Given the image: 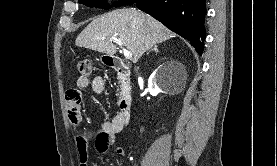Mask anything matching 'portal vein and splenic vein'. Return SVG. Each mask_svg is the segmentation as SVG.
Instances as JSON below:
<instances>
[{
	"label": "portal vein and splenic vein",
	"mask_w": 277,
	"mask_h": 166,
	"mask_svg": "<svg viewBox=\"0 0 277 166\" xmlns=\"http://www.w3.org/2000/svg\"><path fill=\"white\" fill-rule=\"evenodd\" d=\"M105 38V37H104ZM111 41H113L114 43L118 44L120 47H122L123 43L120 39H117L115 37L111 38ZM123 53H124V57L126 59H131L132 58V53L130 51H128L127 49H122Z\"/></svg>",
	"instance_id": "18ae733b"
}]
</instances>
